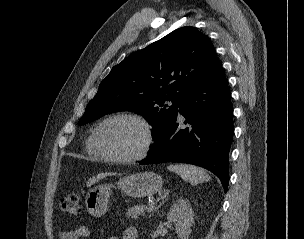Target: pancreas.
<instances>
[{
    "label": "pancreas",
    "mask_w": 304,
    "mask_h": 239,
    "mask_svg": "<svg viewBox=\"0 0 304 239\" xmlns=\"http://www.w3.org/2000/svg\"><path fill=\"white\" fill-rule=\"evenodd\" d=\"M147 205H136L126 212L127 218L138 219L140 215H144V211L147 210Z\"/></svg>",
    "instance_id": "cf45deb5"
}]
</instances>
